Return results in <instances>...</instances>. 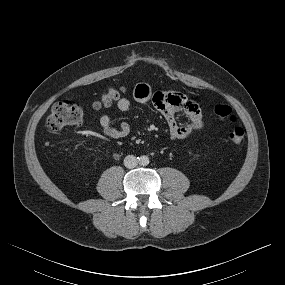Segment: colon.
<instances>
[{
    "label": "colon",
    "mask_w": 285,
    "mask_h": 285,
    "mask_svg": "<svg viewBox=\"0 0 285 285\" xmlns=\"http://www.w3.org/2000/svg\"><path fill=\"white\" fill-rule=\"evenodd\" d=\"M122 88H108L94 103L96 108H104L119 100ZM211 112L221 120H228L232 127L229 131V140L236 145L243 142L245 137L244 127L238 123L237 118L232 113L231 108L226 105L212 106ZM83 119L82 108L70 101H60L53 105L48 115L45 125L50 131H58L69 125L79 124Z\"/></svg>",
    "instance_id": "5ec220e1"
}]
</instances>
